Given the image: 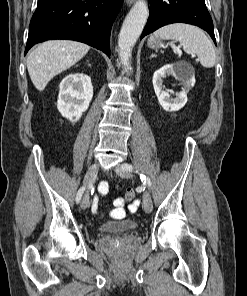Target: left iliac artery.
Masks as SVG:
<instances>
[{
    "label": "left iliac artery",
    "mask_w": 247,
    "mask_h": 296,
    "mask_svg": "<svg viewBox=\"0 0 247 296\" xmlns=\"http://www.w3.org/2000/svg\"><path fill=\"white\" fill-rule=\"evenodd\" d=\"M122 167L127 171H130V172L134 171V167L131 164H123ZM136 172H138V171H136ZM139 175H140L141 181H143L145 184H147L148 187L150 188L151 187L150 179L143 174H139Z\"/></svg>",
    "instance_id": "left-iliac-artery-1"
}]
</instances>
